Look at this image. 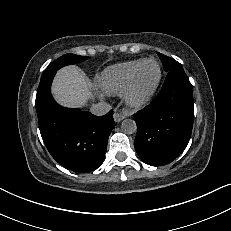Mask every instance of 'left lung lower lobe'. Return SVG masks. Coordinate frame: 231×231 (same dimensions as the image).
Segmentation results:
<instances>
[{"instance_id":"obj_1","label":"left lung lower lobe","mask_w":231,"mask_h":231,"mask_svg":"<svg viewBox=\"0 0 231 231\" xmlns=\"http://www.w3.org/2000/svg\"><path fill=\"white\" fill-rule=\"evenodd\" d=\"M193 118L192 85L182 67L174 68L156 98L133 115L134 147L142 161L162 166L177 158L190 139Z\"/></svg>"}]
</instances>
